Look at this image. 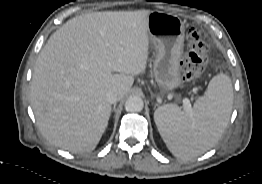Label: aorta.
Listing matches in <instances>:
<instances>
[{"mask_svg":"<svg viewBox=\"0 0 262 184\" xmlns=\"http://www.w3.org/2000/svg\"><path fill=\"white\" fill-rule=\"evenodd\" d=\"M143 107V100L139 96H130L125 102V110L127 112H140L142 111Z\"/></svg>","mask_w":262,"mask_h":184,"instance_id":"aorta-1","label":"aorta"}]
</instances>
